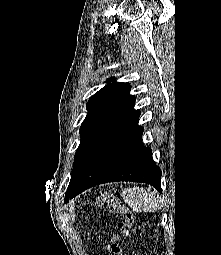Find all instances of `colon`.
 Here are the masks:
<instances>
[{"instance_id":"1","label":"colon","mask_w":221,"mask_h":255,"mask_svg":"<svg viewBox=\"0 0 221 255\" xmlns=\"http://www.w3.org/2000/svg\"><path fill=\"white\" fill-rule=\"evenodd\" d=\"M95 203L100 207L106 206L111 212L121 217V221L117 224V230L111 233L109 237L106 249L110 255H126L122 242L130 235L134 224L133 213L112 193H99Z\"/></svg>"}]
</instances>
